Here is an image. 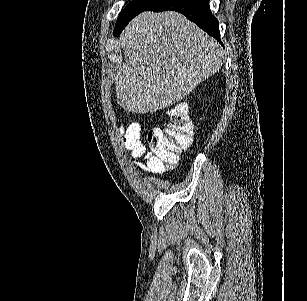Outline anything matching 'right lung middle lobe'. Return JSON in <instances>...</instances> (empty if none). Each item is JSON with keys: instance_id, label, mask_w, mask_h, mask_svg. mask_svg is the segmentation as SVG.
I'll list each match as a JSON object with an SVG mask.
<instances>
[{"instance_id": "dd1d6c3e", "label": "right lung middle lobe", "mask_w": 307, "mask_h": 301, "mask_svg": "<svg viewBox=\"0 0 307 301\" xmlns=\"http://www.w3.org/2000/svg\"><path fill=\"white\" fill-rule=\"evenodd\" d=\"M158 1L159 0H132L129 2L124 10L121 11L115 24L113 34L118 36L135 16L147 10Z\"/></svg>"}]
</instances>
